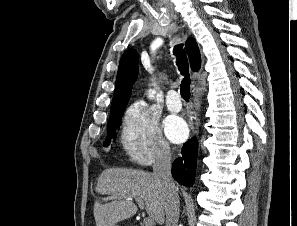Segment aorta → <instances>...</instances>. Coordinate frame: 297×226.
<instances>
[{
    "label": "aorta",
    "instance_id": "762f6f07",
    "mask_svg": "<svg viewBox=\"0 0 297 226\" xmlns=\"http://www.w3.org/2000/svg\"><path fill=\"white\" fill-rule=\"evenodd\" d=\"M149 97L151 98V97H153V95L150 93V94H149Z\"/></svg>",
    "mask_w": 297,
    "mask_h": 226
}]
</instances>
